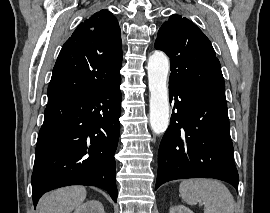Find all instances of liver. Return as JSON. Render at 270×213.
<instances>
[{"label":"liver","mask_w":270,"mask_h":213,"mask_svg":"<svg viewBox=\"0 0 270 213\" xmlns=\"http://www.w3.org/2000/svg\"><path fill=\"white\" fill-rule=\"evenodd\" d=\"M86 198V189L82 186H71L57 189L45 194L39 201V213H71Z\"/></svg>","instance_id":"6515ba94"}]
</instances>
